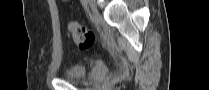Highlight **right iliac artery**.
I'll return each instance as SVG.
<instances>
[{"label": "right iliac artery", "mask_w": 209, "mask_h": 90, "mask_svg": "<svg viewBox=\"0 0 209 90\" xmlns=\"http://www.w3.org/2000/svg\"><path fill=\"white\" fill-rule=\"evenodd\" d=\"M83 3H84V4H86V3H87V1H86V0H84V1H83Z\"/></svg>", "instance_id": "82829eb1"}]
</instances>
